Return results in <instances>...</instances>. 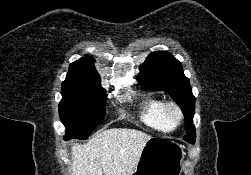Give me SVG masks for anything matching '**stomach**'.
<instances>
[{"instance_id":"1","label":"stomach","mask_w":251,"mask_h":175,"mask_svg":"<svg viewBox=\"0 0 251 175\" xmlns=\"http://www.w3.org/2000/svg\"><path fill=\"white\" fill-rule=\"evenodd\" d=\"M183 159L181 143L163 135H151L131 175H181Z\"/></svg>"}]
</instances>
